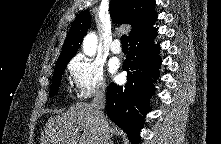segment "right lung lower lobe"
Here are the masks:
<instances>
[{"label":"right lung lower lobe","instance_id":"obj_1","mask_svg":"<svg viewBox=\"0 0 221 144\" xmlns=\"http://www.w3.org/2000/svg\"><path fill=\"white\" fill-rule=\"evenodd\" d=\"M157 30L153 27L129 40V54L123 69L127 71L124 86L110 84L107 91V115L120 126L132 143L140 142L144 117L151 110L154 94L152 82L159 78L161 59L159 45L154 44Z\"/></svg>","mask_w":221,"mask_h":144}]
</instances>
